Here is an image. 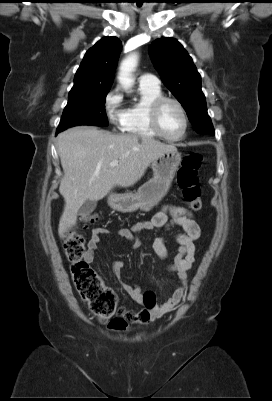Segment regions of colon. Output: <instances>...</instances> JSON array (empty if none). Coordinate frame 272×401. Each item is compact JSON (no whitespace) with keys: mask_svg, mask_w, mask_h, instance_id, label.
<instances>
[{"mask_svg":"<svg viewBox=\"0 0 272 401\" xmlns=\"http://www.w3.org/2000/svg\"><path fill=\"white\" fill-rule=\"evenodd\" d=\"M202 156L198 153L187 154L177 172V184L182 191L189 208L198 211L202 207L198 170ZM99 220L96 213L81 217V228L95 224ZM64 251L71 263L74 284L81 298L90 306L93 313L101 320H108L121 314L116 294L106 287L100 277L88 265L84 256L86 252L85 238L77 230L67 233L64 240ZM144 303L148 309L154 307V296L146 293Z\"/></svg>","mask_w":272,"mask_h":401,"instance_id":"colon-1","label":"colon"}]
</instances>
